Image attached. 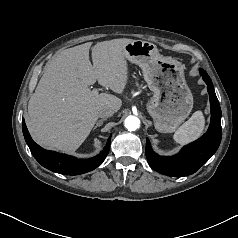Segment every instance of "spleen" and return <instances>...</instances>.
<instances>
[{
    "label": "spleen",
    "mask_w": 238,
    "mask_h": 238,
    "mask_svg": "<svg viewBox=\"0 0 238 238\" xmlns=\"http://www.w3.org/2000/svg\"><path fill=\"white\" fill-rule=\"evenodd\" d=\"M205 127V118L201 111H196L174 133V140L180 145L188 144L199 138Z\"/></svg>",
    "instance_id": "spleen-1"
}]
</instances>
